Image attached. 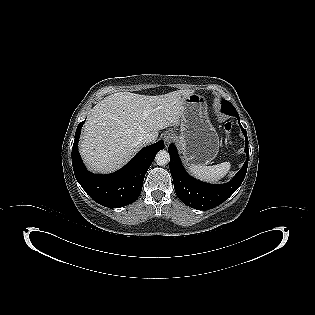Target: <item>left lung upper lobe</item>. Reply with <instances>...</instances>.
Returning <instances> with one entry per match:
<instances>
[{"label": "left lung upper lobe", "instance_id": "1", "mask_svg": "<svg viewBox=\"0 0 315 315\" xmlns=\"http://www.w3.org/2000/svg\"><path fill=\"white\" fill-rule=\"evenodd\" d=\"M222 112L227 114V115H231V116H238V113L236 111V109L234 108V106L227 100H223L222 101Z\"/></svg>", "mask_w": 315, "mask_h": 315}]
</instances>
